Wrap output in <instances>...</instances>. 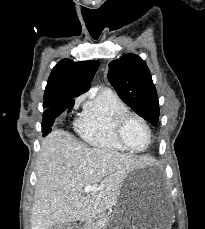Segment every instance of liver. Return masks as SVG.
I'll list each match as a JSON object with an SVG mask.
<instances>
[{
	"label": "liver",
	"mask_w": 205,
	"mask_h": 229,
	"mask_svg": "<svg viewBox=\"0 0 205 229\" xmlns=\"http://www.w3.org/2000/svg\"><path fill=\"white\" fill-rule=\"evenodd\" d=\"M143 164L117 151L90 148L63 130L41 144L31 211L32 229L87 221L116 204L126 176ZM98 187L84 195L85 185Z\"/></svg>",
	"instance_id": "obj_1"
}]
</instances>
